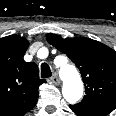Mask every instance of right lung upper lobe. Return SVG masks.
<instances>
[{"instance_id":"right-lung-upper-lobe-1","label":"right lung upper lobe","mask_w":116,"mask_h":116,"mask_svg":"<svg viewBox=\"0 0 116 116\" xmlns=\"http://www.w3.org/2000/svg\"><path fill=\"white\" fill-rule=\"evenodd\" d=\"M29 42L17 35L0 39V116H24L37 103L38 67L23 57Z\"/></svg>"}]
</instances>
